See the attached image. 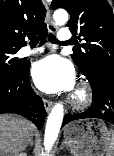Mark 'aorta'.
<instances>
[{"instance_id": "762f6f07", "label": "aorta", "mask_w": 114, "mask_h": 156, "mask_svg": "<svg viewBox=\"0 0 114 156\" xmlns=\"http://www.w3.org/2000/svg\"><path fill=\"white\" fill-rule=\"evenodd\" d=\"M53 18L56 25L62 26L68 21V13L64 9H58L54 12ZM63 117V105L60 103L55 104L51 113L48 116L46 123L44 136L45 150H51L55 140L57 139L60 127L62 125Z\"/></svg>"}]
</instances>
